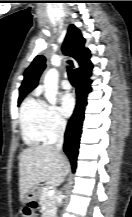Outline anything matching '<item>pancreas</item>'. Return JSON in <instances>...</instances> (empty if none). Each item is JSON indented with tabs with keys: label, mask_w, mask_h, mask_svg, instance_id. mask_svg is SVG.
<instances>
[{
	"label": "pancreas",
	"mask_w": 132,
	"mask_h": 217,
	"mask_svg": "<svg viewBox=\"0 0 132 217\" xmlns=\"http://www.w3.org/2000/svg\"><path fill=\"white\" fill-rule=\"evenodd\" d=\"M49 186H44L41 190L39 204L43 209V216L42 217H55L56 213V196H49Z\"/></svg>",
	"instance_id": "obj_1"
}]
</instances>
